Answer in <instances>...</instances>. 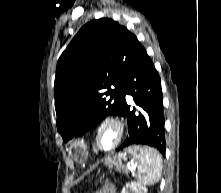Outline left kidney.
I'll use <instances>...</instances> for the list:
<instances>
[{"instance_id":"5707ae66","label":"left kidney","mask_w":221,"mask_h":193,"mask_svg":"<svg viewBox=\"0 0 221 193\" xmlns=\"http://www.w3.org/2000/svg\"><path fill=\"white\" fill-rule=\"evenodd\" d=\"M121 193H147V188L139 182H131L123 187Z\"/></svg>"}]
</instances>
